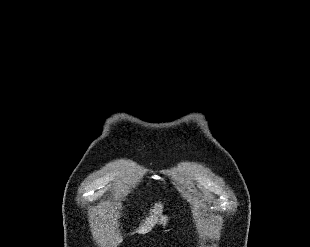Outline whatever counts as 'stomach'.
Returning a JSON list of instances; mask_svg holds the SVG:
<instances>
[{
	"mask_svg": "<svg viewBox=\"0 0 310 247\" xmlns=\"http://www.w3.org/2000/svg\"><path fill=\"white\" fill-rule=\"evenodd\" d=\"M171 216L168 214H163L162 212L158 215L156 220V225L165 228L170 223Z\"/></svg>",
	"mask_w": 310,
	"mask_h": 247,
	"instance_id": "stomach-1",
	"label": "stomach"
}]
</instances>
